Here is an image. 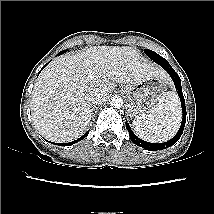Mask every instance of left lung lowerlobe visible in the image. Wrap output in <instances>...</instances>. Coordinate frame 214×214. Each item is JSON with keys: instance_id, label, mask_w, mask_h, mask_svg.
<instances>
[{"instance_id": "obj_1", "label": "left lung lower lobe", "mask_w": 214, "mask_h": 214, "mask_svg": "<svg viewBox=\"0 0 214 214\" xmlns=\"http://www.w3.org/2000/svg\"><path fill=\"white\" fill-rule=\"evenodd\" d=\"M161 66L169 73V75L171 76V78L175 84L176 91H177V93L180 97V100H181L183 118H182V123H181L180 129L177 132V134L172 139H170L169 141L164 142V143H159V144L149 143V142H146V141L139 139L133 133V131L131 130L129 125L126 124V127L128 129L129 134H130V138H131L132 142L134 144L146 149V150H149V151L163 150V149H166V148L172 146L173 144H175L180 139V137L183 133L184 127H185V122H186V107H185V100H184V96H183L182 88H181V79L169 63L162 64Z\"/></svg>"}]
</instances>
